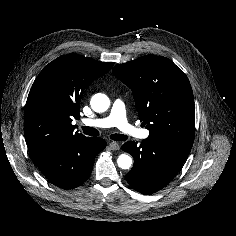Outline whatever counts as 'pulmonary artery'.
<instances>
[{
  "label": "pulmonary artery",
  "mask_w": 236,
  "mask_h": 236,
  "mask_svg": "<svg viewBox=\"0 0 236 236\" xmlns=\"http://www.w3.org/2000/svg\"><path fill=\"white\" fill-rule=\"evenodd\" d=\"M83 124L94 128L117 127L126 134L140 139H146L149 137L148 130L136 128L128 122L125 104L121 99H116L113 102L107 116L98 119H86L83 121Z\"/></svg>",
  "instance_id": "1"
}]
</instances>
